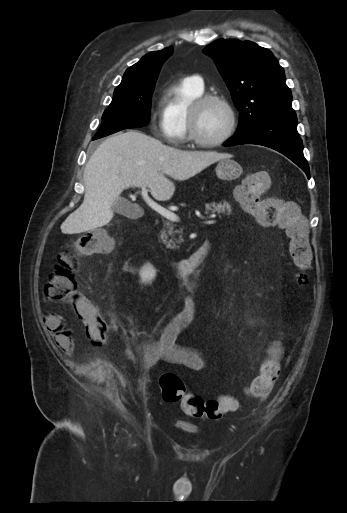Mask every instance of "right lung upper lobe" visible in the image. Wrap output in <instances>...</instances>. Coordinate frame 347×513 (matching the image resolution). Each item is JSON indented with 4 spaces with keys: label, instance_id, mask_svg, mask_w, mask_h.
I'll return each mask as SVG.
<instances>
[{
    "label": "right lung upper lobe",
    "instance_id": "obj_1",
    "mask_svg": "<svg viewBox=\"0 0 347 513\" xmlns=\"http://www.w3.org/2000/svg\"><path fill=\"white\" fill-rule=\"evenodd\" d=\"M172 52V48H166L146 54L138 63L126 70L117 88L144 87L156 82L162 64Z\"/></svg>",
    "mask_w": 347,
    "mask_h": 513
}]
</instances>
